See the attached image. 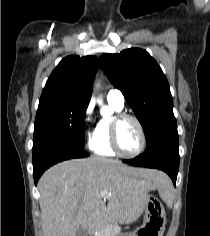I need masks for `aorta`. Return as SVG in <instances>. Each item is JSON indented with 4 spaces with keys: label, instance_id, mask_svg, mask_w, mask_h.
<instances>
[{
    "label": "aorta",
    "instance_id": "obj_1",
    "mask_svg": "<svg viewBox=\"0 0 210 236\" xmlns=\"http://www.w3.org/2000/svg\"><path fill=\"white\" fill-rule=\"evenodd\" d=\"M98 103L101 106V113H106V114L112 113V111L108 107L103 106L102 101H99Z\"/></svg>",
    "mask_w": 210,
    "mask_h": 236
}]
</instances>
